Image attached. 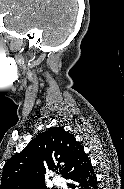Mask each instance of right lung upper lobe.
I'll return each instance as SVG.
<instances>
[{
    "label": "right lung upper lobe",
    "mask_w": 124,
    "mask_h": 189,
    "mask_svg": "<svg viewBox=\"0 0 124 189\" xmlns=\"http://www.w3.org/2000/svg\"><path fill=\"white\" fill-rule=\"evenodd\" d=\"M89 161L72 134L61 127L50 128L5 163L1 189H38L45 186L46 169L59 170L66 178Z\"/></svg>",
    "instance_id": "right-lung-upper-lobe-1"
}]
</instances>
